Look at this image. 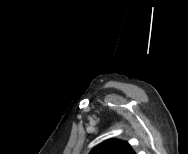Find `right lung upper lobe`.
Instances as JSON below:
<instances>
[{
	"label": "right lung upper lobe",
	"instance_id": "right-lung-upper-lobe-1",
	"mask_svg": "<svg viewBox=\"0 0 188 154\" xmlns=\"http://www.w3.org/2000/svg\"><path fill=\"white\" fill-rule=\"evenodd\" d=\"M90 154H135L131 147L121 140H107L95 147Z\"/></svg>",
	"mask_w": 188,
	"mask_h": 154
}]
</instances>
